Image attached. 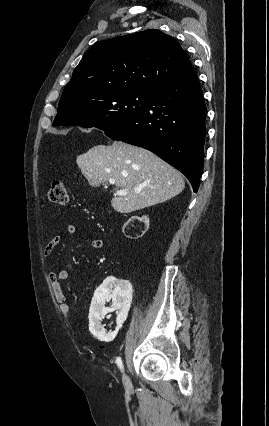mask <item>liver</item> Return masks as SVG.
<instances>
[{
	"label": "liver",
	"mask_w": 269,
	"mask_h": 426,
	"mask_svg": "<svg viewBox=\"0 0 269 426\" xmlns=\"http://www.w3.org/2000/svg\"><path fill=\"white\" fill-rule=\"evenodd\" d=\"M78 167L93 187L110 179L128 192L114 195L111 205L120 213H131L163 203L183 191L182 174L152 152L122 141L97 145L76 158Z\"/></svg>",
	"instance_id": "obj_1"
}]
</instances>
